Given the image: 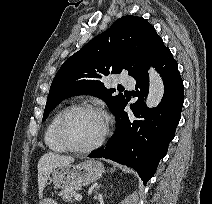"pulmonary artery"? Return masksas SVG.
Instances as JSON below:
<instances>
[{"label":"pulmonary artery","mask_w":212,"mask_h":204,"mask_svg":"<svg viewBox=\"0 0 212 204\" xmlns=\"http://www.w3.org/2000/svg\"><path fill=\"white\" fill-rule=\"evenodd\" d=\"M119 82L128 87H133L135 84V80L130 76H121Z\"/></svg>","instance_id":"obj_1"}]
</instances>
